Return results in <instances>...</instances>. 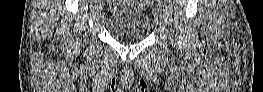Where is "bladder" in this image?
<instances>
[{
	"label": "bladder",
	"mask_w": 263,
	"mask_h": 92,
	"mask_svg": "<svg viewBox=\"0 0 263 92\" xmlns=\"http://www.w3.org/2000/svg\"><path fill=\"white\" fill-rule=\"evenodd\" d=\"M126 4L128 5L114 10L107 17V31L119 42L142 41L150 31L145 9L139 1H128Z\"/></svg>",
	"instance_id": "1"
}]
</instances>
